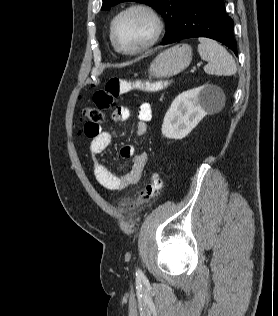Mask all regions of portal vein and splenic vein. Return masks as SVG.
<instances>
[{
  "mask_svg": "<svg viewBox=\"0 0 278 316\" xmlns=\"http://www.w3.org/2000/svg\"><path fill=\"white\" fill-rule=\"evenodd\" d=\"M200 66H201V63H198V64H197V67H200Z\"/></svg>",
  "mask_w": 278,
  "mask_h": 316,
  "instance_id": "obj_1",
  "label": "portal vein and splenic vein"
}]
</instances>
